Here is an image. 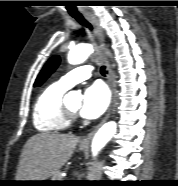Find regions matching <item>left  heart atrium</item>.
<instances>
[{"mask_svg": "<svg viewBox=\"0 0 178 186\" xmlns=\"http://www.w3.org/2000/svg\"><path fill=\"white\" fill-rule=\"evenodd\" d=\"M109 104L107 88L100 82H95L86 88L83 95L80 114L87 119H96L101 116Z\"/></svg>", "mask_w": 178, "mask_h": 186, "instance_id": "1", "label": "left heart atrium"}]
</instances>
